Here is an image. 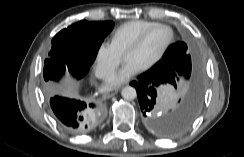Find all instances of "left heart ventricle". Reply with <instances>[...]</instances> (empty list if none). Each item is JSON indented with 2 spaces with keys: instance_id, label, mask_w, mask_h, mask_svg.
I'll return each instance as SVG.
<instances>
[{
  "instance_id": "obj_1",
  "label": "left heart ventricle",
  "mask_w": 244,
  "mask_h": 157,
  "mask_svg": "<svg viewBox=\"0 0 244 157\" xmlns=\"http://www.w3.org/2000/svg\"><path fill=\"white\" fill-rule=\"evenodd\" d=\"M169 35L167 29H155L146 37L139 48L126 54L125 60L132 61L142 68L157 57L167 43Z\"/></svg>"
}]
</instances>
